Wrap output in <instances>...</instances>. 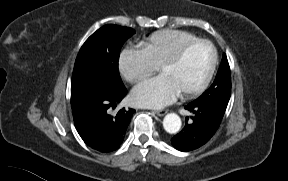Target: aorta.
Listing matches in <instances>:
<instances>
[{"label":"aorta","instance_id":"obj_1","mask_svg":"<svg viewBox=\"0 0 288 181\" xmlns=\"http://www.w3.org/2000/svg\"><path fill=\"white\" fill-rule=\"evenodd\" d=\"M181 118L176 113H169L164 117L163 127L170 134L177 133L181 128Z\"/></svg>","mask_w":288,"mask_h":181}]
</instances>
